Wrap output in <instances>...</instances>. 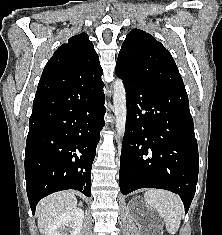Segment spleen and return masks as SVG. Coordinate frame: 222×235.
Masks as SVG:
<instances>
[{"label":"spleen","mask_w":222,"mask_h":235,"mask_svg":"<svg viewBox=\"0 0 222 235\" xmlns=\"http://www.w3.org/2000/svg\"><path fill=\"white\" fill-rule=\"evenodd\" d=\"M144 197L146 202L164 219L167 231L172 235L176 234L184 214L181 198L172 192L158 189L148 190Z\"/></svg>","instance_id":"obj_1"}]
</instances>
